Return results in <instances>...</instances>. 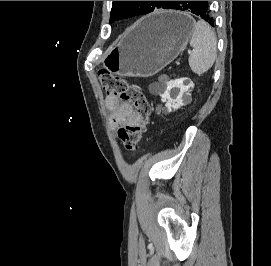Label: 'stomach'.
<instances>
[{
	"label": "stomach",
	"instance_id": "0dacf381",
	"mask_svg": "<svg viewBox=\"0 0 271 266\" xmlns=\"http://www.w3.org/2000/svg\"><path fill=\"white\" fill-rule=\"evenodd\" d=\"M194 24L190 15L180 11L149 15L108 50L103 65L122 76H153L180 54L192 35Z\"/></svg>",
	"mask_w": 271,
	"mask_h": 266
}]
</instances>
